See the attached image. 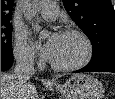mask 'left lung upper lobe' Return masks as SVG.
Segmentation results:
<instances>
[{"label":"left lung upper lobe","mask_w":115,"mask_h":99,"mask_svg":"<svg viewBox=\"0 0 115 99\" xmlns=\"http://www.w3.org/2000/svg\"><path fill=\"white\" fill-rule=\"evenodd\" d=\"M63 4L92 43L90 63L115 58V11L111 0H63Z\"/></svg>","instance_id":"left-lung-upper-lobe-1"}]
</instances>
